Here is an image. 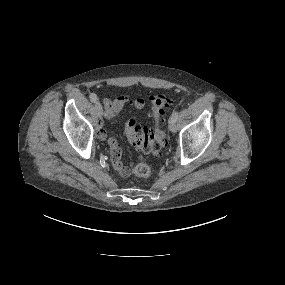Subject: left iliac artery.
Masks as SVG:
<instances>
[{
    "label": "left iliac artery",
    "instance_id": "left-iliac-artery-1",
    "mask_svg": "<svg viewBox=\"0 0 285 285\" xmlns=\"http://www.w3.org/2000/svg\"><path fill=\"white\" fill-rule=\"evenodd\" d=\"M178 116H179V112H178V111H174V112L172 113L171 118H173V119H175V120L177 121Z\"/></svg>",
    "mask_w": 285,
    "mask_h": 285
}]
</instances>
